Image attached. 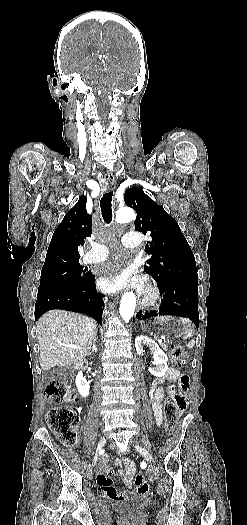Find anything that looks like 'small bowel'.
<instances>
[{
  "mask_svg": "<svg viewBox=\"0 0 247 525\" xmlns=\"http://www.w3.org/2000/svg\"><path fill=\"white\" fill-rule=\"evenodd\" d=\"M181 373L176 368H169L166 372V378L169 381L176 382L179 380ZM164 397V389L160 384H157L151 392V400L153 405L154 414L158 422L161 421L162 416V400ZM117 468L112 469V473L100 472L96 476V482L93 487L95 493L100 494L103 497L113 498L114 503L121 504L124 500L132 499L134 493L131 491L132 487V476L136 473V464L128 458H121L116 461ZM120 472L124 485L128 488L127 490L118 493L117 489L113 485L114 475ZM114 474V475H113Z\"/></svg>",
  "mask_w": 247,
  "mask_h": 525,
  "instance_id": "obj_1",
  "label": "small bowel"
}]
</instances>
